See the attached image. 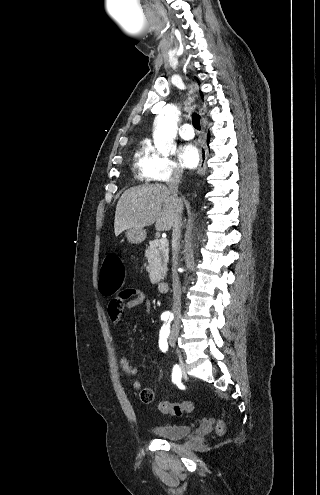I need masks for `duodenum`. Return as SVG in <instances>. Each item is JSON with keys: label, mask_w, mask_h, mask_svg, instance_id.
I'll use <instances>...</instances> for the list:
<instances>
[{"label": "duodenum", "mask_w": 320, "mask_h": 495, "mask_svg": "<svg viewBox=\"0 0 320 495\" xmlns=\"http://www.w3.org/2000/svg\"><path fill=\"white\" fill-rule=\"evenodd\" d=\"M169 288V283L165 280H162L158 283V289L160 292L164 293V292H167Z\"/></svg>", "instance_id": "duodenum-1"}]
</instances>
